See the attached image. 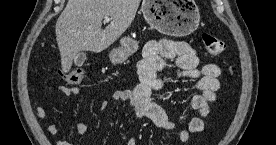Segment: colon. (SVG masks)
Instances as JSON below:
<instances>
[{
    "label": "colon",
    "instance_id": "colon-1",
    "mask_svg": "<svg viewBox=\"0 0 276 145\" xmlns=\"http://www.w3.org/2000/svg\"><path fill=\"white\" fill-rule=\"evenodd\" d=\"M202 41L210 55L217 56L225 50L224 42L213 34L203 33ZM62 77L69 84H80L85 77V72L81 68H74L66 73H62Z\"/></svg>",
    "mask_w": 276,
    "mask_h": 145
}]
</instances>
